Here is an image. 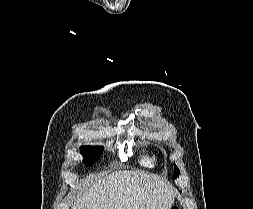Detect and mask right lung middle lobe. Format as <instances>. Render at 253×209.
Returning a JSON list of instances; mask_svg holds the SVG:
<instances>
[{
  "label": "right lung middle lobe",
  "instance_id": "1",
  "mask_svg": "<svg viewBox=\"0 0 253 209\" xmlns=\"http://www.w3.org/2000/svg\"><path fill=\"white\" fill-rule=\"evenodd\" d=\"M81 154L84 156L83 162L86 165H93L95 160L98 159L103 151L102 147H93V146H81Z\"/></svg>",
  "mask_w": 253,
  "mask_h": 209
}]
</instances>
